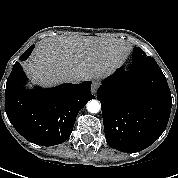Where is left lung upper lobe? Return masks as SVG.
Here are the masks:
<instances>
[{
  "mask_svg": "<svg viewBox=\"0 0 178 178\" xmlns=\"http://www.w3.org/2000/svg\"><path fill=\"white\" fill-rule=\"evenodd\" d=\"M146 57H150V56H147L141 48H138V47L134 48L132 60L142 59V58H146Z\"/></svg>",
  "mask_w": 178,
  "mask_h": 178,
  "instance_id": "1",
  "label": "left lung upper lobe"
}]
</instances>
